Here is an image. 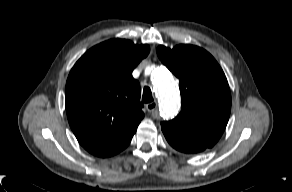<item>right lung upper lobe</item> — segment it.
I'll return each instance as SVG.
<instances>
[{
  "instance_id": "1",
  "label": "right lung upper lobe",
  "mask_w": 292,
  "mask_h": 192,
  "mask_svg": "<svg viewBox=\"0 0 292 192\" xmlns=\"http://www.w3.org/2000/svg\"><path fill=\"white\" fill-rule=\"evenodd\" d=\"M148 45L112 39L88 50L74 65L65 88L70 127L84 148L113 147L132 138L144 117L133 69Z\"/></svg>"
}]
</instances>
